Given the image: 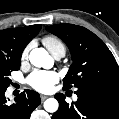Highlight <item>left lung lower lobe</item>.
I'll list each match as a JSON object with an SVG mask.
<instances>
[{
    "label": "left lung lower lobe",
    "instance_id": "obj_1",
    "mask_svg": "<svg viewBox=\"0 0 119 119\" xmlns=\"http://www.w3.org/2000/svg\"><path fill=\"white\" fill-rule=\"evenodd\" d=\"M75 93L78 100L71 105L63 94L55 95L59 109L52 119H119V88H81Z\"/></svg>",
    "mask_w": 119,
    "mask_h": 119
}]
</instances>
